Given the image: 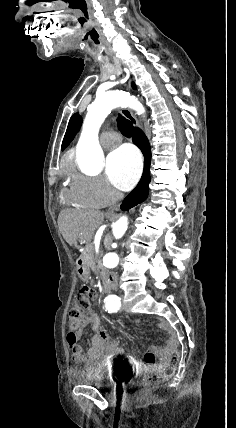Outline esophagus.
Listing matches in <instances>:
<instances>
[{
    "instance_id": "obj_1",
    "label": "esophagus",
    "mask_w": 236,
    "mask_h": 428,
    "mask_svg": "<svg viewBox=\"0 0 236 428\" xmlns=\"http://www.w3.org/2000/svg\"><path fill=\"white\" fill-rule=\"evenodd\" d=\"M131 83H132V80L130 79L128 81V89L129 90L131 89ZM122 113H123L124 117L131 122L132 125H134L135 127H139V122H138L137 118H135V116L133 115V113L130 109L124 108L122 110Z\"/></svg>"
}]
</instances>
